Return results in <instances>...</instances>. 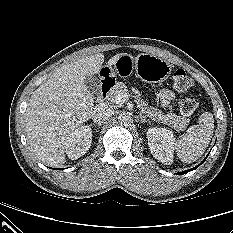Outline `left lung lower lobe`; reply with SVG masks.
Listing matches in <instances>:
<instances>
[{"label": "left lung lower lobe", "instance_id": "0a47b994", "mask_svg": "<svg viewBox=\"0 0 233 233\" xmlns=\"http://www.w3.org/2000/svg\"><path fill=\"white\" fill-rule=\"evenodd\" d=\"M208 156V155H207ZM207 158V157H206ZM206 158L199 164V165H197L196 167H194V168H192V169H189V170H186V171H183V172H179V173H177L178 175H182V174H185V173H188L189 171H192V170H194V169H196L197 167H199L205 160H206Z\"/></svg>", "mask_w": 233, "mask_h": 233}]
</instances>
